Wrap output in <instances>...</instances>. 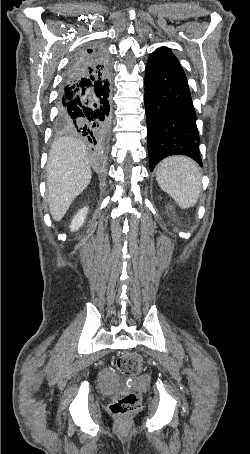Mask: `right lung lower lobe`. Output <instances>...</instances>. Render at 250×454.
<instances>
[{
	"instance_id": "1",
	"label": "right lung lower lobe",
	"mask_w": 250,
	"mask_h": 454,
	"mask_svg": "<svg viewBox=\"0 0 250 454\" xmlns=\"http://www.w3.org/2000/svg\"><path fill=\"white\" fill-rule=\"evenodd\" d=\"M109 57L104 46L91 44L70 61L58 96L59 125L106 147L110 133ZM103 66L96 70L94 66Z\"/></svg>"
}]
</instances>
